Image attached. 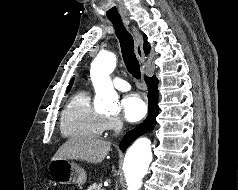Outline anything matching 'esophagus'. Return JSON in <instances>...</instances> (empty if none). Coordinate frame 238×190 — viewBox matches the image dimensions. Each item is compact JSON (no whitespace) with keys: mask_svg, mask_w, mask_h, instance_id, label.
<instances>
[{"mask_svg":"<svg viewBox=\"0 0 238 190\" xmlns=\"http://www.w3.org/2000/svg\"><path fill=\"white\" fill-rule=\"evenodd\" d=\"M132 31L135 37V53L142 67H144L146 56L143 51V37L134 26H132Z\"/></svg>","mask_w":238,"mask_h":190,"instance_id":"obj_1","label":"esophagus"}]
</instances>
